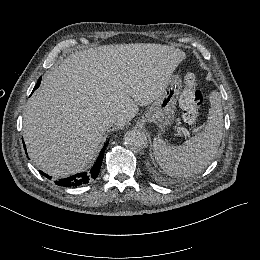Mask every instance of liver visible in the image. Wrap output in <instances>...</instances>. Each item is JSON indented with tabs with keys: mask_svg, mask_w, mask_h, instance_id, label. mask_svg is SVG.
Masks as SVG:
<instances>
[{
	"mask_svg": "<svg viewBox=\"0 0 260 260\" xmlns=\"http://www.w3.org/2000/svg\"><path fill=\"white\" fill-rule=\"evenodd\" d=\"M186 59L158 44L108 45L69 56L48 71L28 100L23 138L31 159L55 177L84 170L100 148L107 120L123 127L159 98Z\"/></svg>",
	"mask_w": 260,
	"mask_h": 260,
	"instance_id": "6515ba94",
	"label": "liver"
}]
</instances>
